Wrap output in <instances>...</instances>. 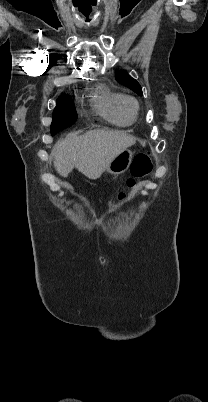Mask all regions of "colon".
I'll list each match as a JSON object with an SVG mask.
<instances>
[{
  "label": "colon",
  "instance_id": "obj_1",
  "mask_svg": "<svg viewBox=\"0 0 208 402\" xmlns=\"http://www.w3.org/2000/svg\"><path fill=\"white\" fill-rule=\"evenodd\" d=\"M153 170L151 152L145 151L137 154L131 163L130 175L126 179V187L132 190L137 185V180L147 177ZM125 198V192H120L118 200L121 202Z\"/></svg>",
  "mask_w": 208,
  "mask_h": 402
}]
</instances>
